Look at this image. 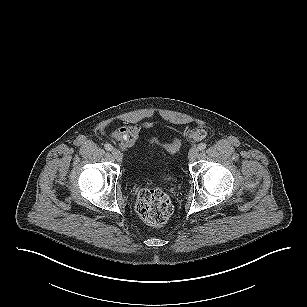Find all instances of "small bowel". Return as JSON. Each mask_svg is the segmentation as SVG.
<instances>
[{
  "label": "small bowel",
  "mask_w": 307,
  "mask_h": 307,
  "mask_svg": "<svg viewBox=\"0 0 307 307\" xmlns=\"http://www.w3.org/2000/svg\"><path fill=\"white\" fill-rule=\"evenodd\" d=\"M152 123L144 122L140 124H133V125H123L118 127L111 133V137L114 141H116L119 146L124 150L127 151L131 148L136 141L138 140L141 130L144 128H151Z\"/></svg>",
  "instance_id": "small-bowel-1"
}]
</instances>
